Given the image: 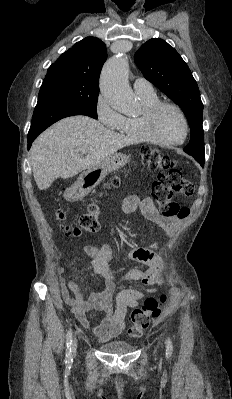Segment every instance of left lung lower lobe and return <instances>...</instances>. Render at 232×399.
<instances>
[{
  "instance_id": "left-lung-lower-lobe-1",
  "label": "left lung lower lobe",
  "mask_w": 232,
  "mask_h": 399,
  "mask_svg": "<svg viewBox=\"0 0 232 399\" xmlns=\"http://www.w3.org/2000/svg\"><path fill=\"white\" fill-rule=\"evenodd\" d=\"M199 163L201 164V166H203V165H204V161H199Z\"/></svg>"
}]
</instances>
